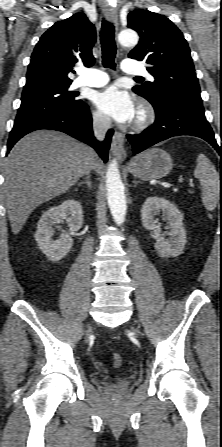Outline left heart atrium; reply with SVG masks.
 I'll use <instances>...</instances> for the list:
<instances>
[{
  "label": "left heart atrium",
  "mask_w": 222,
  "mask_h": 447,
  "mask_svg": "<svg viewBox=\"0 0 222 447\" xmlns=\"http://www.w3.org/2000/svg\"><path fill=\"white\" fill-rule=\"evenodd\" d=\"M98 109L119 123H128L136 115V109L131 96L111 86L98 93L95 97Z\"/></svg>",
  "instance_id": "39dd6f15"
}]
</instances>
